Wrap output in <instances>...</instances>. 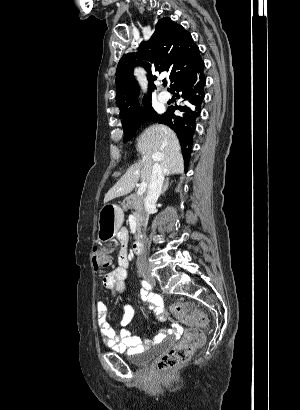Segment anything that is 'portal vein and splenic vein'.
<instances>
[{
  "label": "portal vein and splenic vein",
  "instance_id": "1",
  "mask_svg": "<svg viewBox=\"0 0 300 410\" xmlns=\"http://www.w3.org/2000/svg\"><path fill=\"white\" fill-rule=\"evenodd\" d=\"M147 189V183L142 182L138 188L137 195L141 196Z\"/></svg>",
  "mask_w": 300,
  "mask_h": 410
}]
</instances>
